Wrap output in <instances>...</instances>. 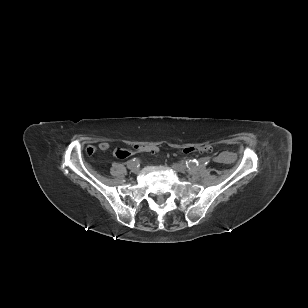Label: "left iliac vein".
<instances>
[{
  "label": "left iliac vein",
  "instance_id": "left-iliac-vein-1",
  "mask_svg": "<svg viewBox=\"0 0 308 308\" xmlns=\"http://www.w3.org/2000/svg\"><path fill=\"white\" fill-rule=\"evenodd\" d=\"M172 168L177 171V172H181V173H184L186 172V168L182 165H179V164H173L172 165Z\"/></svg>",
  "mask_w": 308,
  "mask_h": 308
}]
</instances>
